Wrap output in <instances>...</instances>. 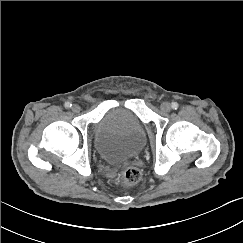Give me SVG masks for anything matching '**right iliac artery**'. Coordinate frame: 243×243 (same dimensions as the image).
<instances>
[{"label":"right iliac artery","mask_w":243,"mask_h":243,"mask_svg":"<svg viewBox=\"0 0 243 243\" xmlns=\"http://www.w3.org/2000/svg\"><path fill=\"white\" fill-rule=\"evenodd\" d=\"M64 106H65V108H70V107L72 106V104H71L70 102H66V103L64 104Z\"/></svg>","instance_id":"obj_1"}]
</instances>
